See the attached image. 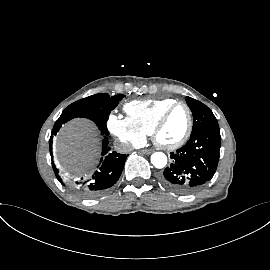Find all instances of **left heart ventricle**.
I'll return each instance as SVG.
<instances>
[{"instance_id":"obj_1","label":"left heart ventricle","mask_w":270,"mask_h":270,"mask_svg":"<svg viewBox=\"0 0 270 270\" xmlns=\"http://www.w3.org/2000/svg\"><path fill=\"white\" fill-rule=\"evenodd\" d=\"M188 125L187 110L183 106L175 108L169 115L159 133V140L170 144L178 141L185 133Z\"/></svg>"}]
</instances>
